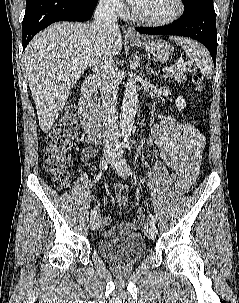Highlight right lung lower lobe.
Instances as JSON below:
<instances>
[{
    "mask_svg": "<svg viewBox=\"0 0 239 303\" xmlns=\"http://www.w3.org/2000/svg\"><path fill=\"white\" fill-rule=\"evenodd\" d=\"M98 0H26L22 22L23 49L40 30L57 21H86Z\"/></svg>",
    "mask_w": 239,
    "mask_h": 303,
    "instance_id": "obj_1",
    "label": "right lung lower lobe"
}]
</instances>
